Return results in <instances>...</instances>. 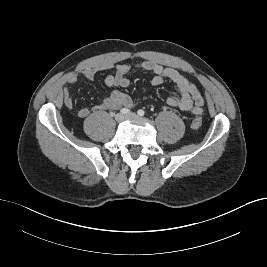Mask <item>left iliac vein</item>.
<instances>
[{
  "instance_id": "obj_1",
  "label": "left iliac vein",
  "mask_w": 267,
  "mask_h": 267,
  "mask_svg": "<svg viewBox=\"0 0 267 267\" xmlns=\"http://www.w3.org/2000/svg\"><path fill=\"white\" fill-rule=\"evenodd\" d=\"M137 115L135 113L128 114L126 118H136Z\"/></svg>"
}]
</instances>
